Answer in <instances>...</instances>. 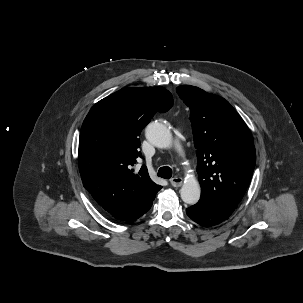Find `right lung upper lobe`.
Wrapping results in <instances>:
<instances>
[{
    "mask_svg": "<svg viewBox=\"0 0 303 303\" xmlns=\"http://www.w3.org/2000/svg\"><path fill=\"white\" fill-rule=\"evenodd\" d=\"M163 88L121 89L97 102L80 133L79 170L85 189L114 219L130 222L162 188L145 165L132 166L141 155L139 135L153 115L168 111L172 95Z\"/></svg>",
    "mask_w": 303,
    "mask_h": 303,
    "instance_id": "obj_1",
    "label": "right lung upper lobe"
}]
</instances>
